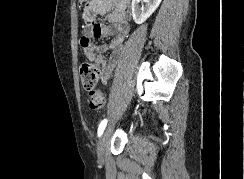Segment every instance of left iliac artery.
I'll return each mask as SVG.
<instances>
[{
    "label": "left iliac artery",
    "instance_id": "obj_1",
    "mask_svg": "<svg viewBox=\"0 0 244 179\" xmlns=\"http://www.w3.org/2000/svg\"><path fill=\"white\" fill-rule=\"evenodd\" d=\"M106 125H107V119H104L98 127V136H101L103 134Z\"/></svg>",
    "mask_w": 244,
    "mask_h": 179
}]
</instances>
